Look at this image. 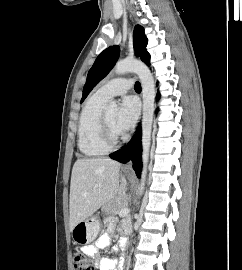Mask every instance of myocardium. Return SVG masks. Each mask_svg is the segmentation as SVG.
<instances>
[{"mask_svg": "<svg viewBox=\"0 0 242 270\" xmlns=\"http://www.w3.org/2000/svg\"><path fill=\"white\" fill-rule=\"evenodd\" d=\"M100 138L103 145L108 149L112 150L118 147L124 140V134L120 136H115L109 122L107 120L106 112L102 113L100 120Z\"/></svg>", "mask_w": 242, "mask_h": 270, "instance_id": "obj_1", "label": "myocardium"}]
</instances>
